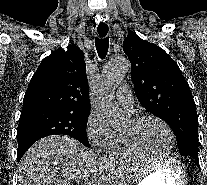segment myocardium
<instances>
[{"label": "myocardium", "mask_w": 207, "mask_h": 185, "mask_svg": "<svg viewBox=\"0 0 207 185\" xmlns=\"http://www.w3.org/2000/svg\"><path fill=\"white\" fill-rule=\"evenodd\" d=\"M148 120H155L159 122L167 131L169 138H170V148L168 152L163 156H154L149 154L147 151H145L135 140L134 136L130 133L123 132V136L125 138V142L127 146L135 153L149 159V160H156V161H163L170 159L174 153L175 147H176V137L173 129L171 126L161 117L156 115H142L135 117L132 121L135 125H139L145 121Z\"/></svg>", "instance_id": "obj_1"}]
</instances>
